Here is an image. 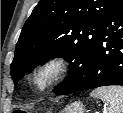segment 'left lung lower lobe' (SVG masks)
Masks as SVG:
<instances>
[{
	"label": "left lung lower lobe",
	"mask_w": 123,
	"mask_h": 113,
	"mask_svg": "<svg viewBox=\"0 0 123 113\" xmlns=\"http://www.w3.org/2000/svg\"><path fill=\"white\" fill-rule=\"evenodd\" d=\"M107 85L123 86V0H114L110 11L101 21L84 80L60 95Z\"/></svg>",
	"instance_id": "1"
}]
</instances>
